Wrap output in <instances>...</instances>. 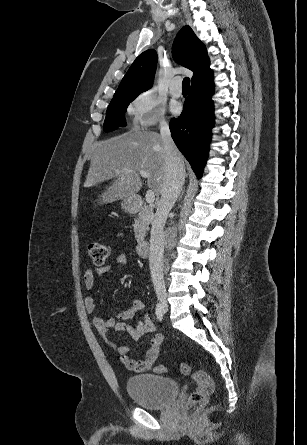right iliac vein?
Wrapping results in <instances>:
<instances>
[{
    "instance_id": "1",
    "label": "right iliac vein",
    "mask_w": 307,
    "mask_h": 445,
    "mask_svg": "<svg viewBox=\"0 0 307 445\" xmlns=\"http://www.w3.org/2000/svg\"><path fill=\"white\" fill-rule=\"evenodd\" d=\"M161 302H162V304H163L164 306L166 305L165 300H161Z\"/></svg>"
}]
</instances>
